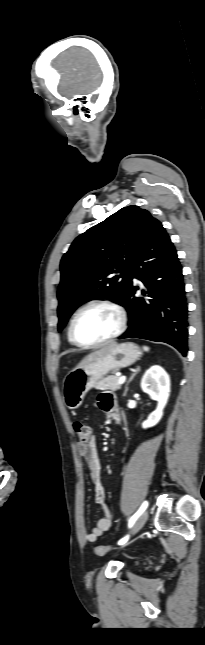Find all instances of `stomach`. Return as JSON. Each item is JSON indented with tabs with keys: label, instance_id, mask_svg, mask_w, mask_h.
Listing matches in <instances>:
<instances>
[{
	"label": "stomach",
	"instance_id": "obj_1",
	"mask_svg": "<svg viewBox=\"0 0 205 645\" xmlns=\"http://www.w3.org/2000/svg\"><path fill=\"white\" fill-rule=\"evenodd\" d=\"M142 352L135 344L126 342L116 345L109 353L81 368L70 371L63 380V399L67 408L81 406L86 393L106 374L132 365Z\"/></svg>",
	"mask_w": 205,
	"mask_h": 645
}]
</instances>
